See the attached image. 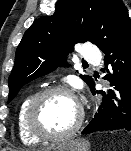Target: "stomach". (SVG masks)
I'll list each match as a JSON object with an SVG mask.
<instances>
[{
  "label": "stomach",
  "instance_id": "stomach-1",
  "mask_svg": "<svg viewBox=\"0 0 131 151\" xmlns=\"http://www.w3.org/2000/svg\"><path fill=\"white\" fill-rule=\"evenodd\" d=\"M44 151H90V143L85 139H70Z\"/></svg>",
  "mask_w": 131,
  "mask_h": 151
}]
</instances>
